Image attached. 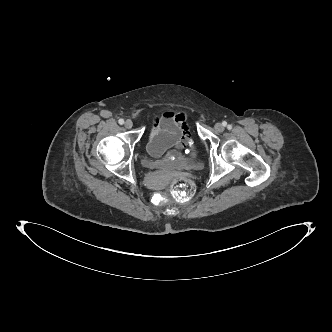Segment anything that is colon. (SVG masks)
I'll use <instances>...</instances> for the list:
<instances>
[{
	"instance_id": "colon-1",
	"label": "colon",
	"mask_w": 332,
	"mask_h": 332,
	"mask_svg": "<svg viewBox=\"0 0 332 332\" xmlns=\"http://www.w3.org/2000/svg\"><path fill=\"white\" fill-rule=\"evenodd\" d=\"M187 156L191 160H196L200 156L199 143L195 139H190L186 143ZM171 195L180 200H189L195 194V184L187 176H176L169 185ZM159 201V198H158Z\"/></svg>"
}]
</instances>
